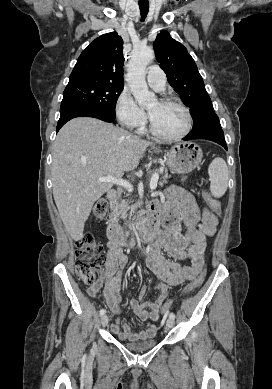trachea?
Returning a JSON list of instances; mask_svg holds the SVG:
<instances>
[{
  "label": "trachea",
  "instance_id": "3493384b",
  "mask_svg": "<svg viewBox=\"0 0 272 389\" xmlns=\"http://www.w3.org/2000/svg\"><path fill=\"white\" fill-rule=\"evenodd\" d=\"M139 9L141 13V21H144L149 11V4H139Z\"/></svg>",
  "mask_w": 272,
  "mask_h": 389
}]
</instances>
